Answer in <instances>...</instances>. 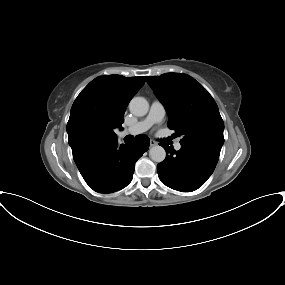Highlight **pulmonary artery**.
I'll return each mask as SVG.
<instances>
[{
    "label": "pulmonary artery",
    "mask_w": 285,
    "mask_h": 285,
    "mask_svg": "<svg viewBox=\"0 0 285 285\" xmlns=\"http://www.w3.org/2000/svg\"><path fill=\"white\" fill-rule=\"evenodd\" d=\"M166 111L164 105L160 101H153L147 116L136 124L122 130L120 136L127 135L136 136L146 132L152 125L160 123L165 117ZM176 150L181 149V142L178 140L174 144Z\"/></svg>",
    "instance_id": "obj_1"
}]
</instances>
